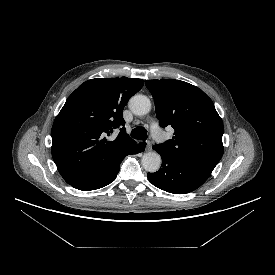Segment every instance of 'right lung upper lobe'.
Returning a JSON list of instances; mask_svg holds the SVG:
<instances>
[{
    "label": "right lung upper lobe",
    "instance_id": "1",
    "mask_svg": "<svg viewBox=\"0 0 275 275\" xmlns=\"http://www.w3.org/2000/svg\"><path fill=\"white\" fill-rule=\"evenodd\" d=\"M137 78H96L66 100L52 126V157L68 184L105 172L137 144L125 132L124 106L143 87ZM119 128L114 140L107 137Z\"/></svg>",
    "mask_w": 275,
    "mask_h": 275
}]
</instances>
